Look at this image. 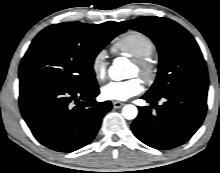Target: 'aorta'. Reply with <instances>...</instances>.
<instances>
[{
    "label": "aorta",
    "instance_id": "762f6f07",
    "mask_svg": "<svg viewBox=\"0 0 220 173\" xmlns=\"http://www.w3.org/2000/svg\"><path fill=\"white\" fill-rule=\"evenodd\" d=\"M125 59H117L114 61V64L109 69L110 77L115 81H120L125 78L124 68L125 66ZM123 116L128 119L132 120L137 117L138 110L134 105H126L122 109Z\"/></svg>",
    "mask_w": 220,
    "mask_h": 173
}]
</instances>
